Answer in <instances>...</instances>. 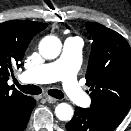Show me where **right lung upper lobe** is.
Here are the masks:
<instances>
[{
	"label": "right lung upper lobe",
	"mask_w": 131,
	"mask_h": 131,
	"mask_svg": "<svg viewBox=\"0 0 131 131\" xmlns=\"http://www.w3.org/2000/svg\"><path fill=\"white\" fill-rule=\"evenodd\" d=\"M48 25L28 20L0 23V131H14L32 97L25 96L7 84L13 67L20 61L31 39Z\"/></svg>",
	"instance_id": "cb5924a9"
}]
</instances>
